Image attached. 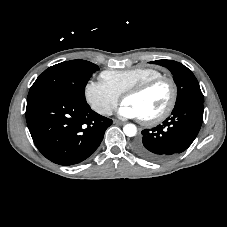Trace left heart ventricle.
<instances>
[{
  "mask_svg": "<svg viewBox=\"0 0 227 227\" xmlns=\"http://www.w3.org/2000/svg\"><path fill=\"white\" fill-rule=\"evenodd\" d=\"M170 95L169 84L161 82L141 95L126 97L124 102L134 106L141 118H150L164 110L169 102Z\"/></svg>",
  "mask_w": 227,
  "mask_h": 227,
  "instance_id": "left-heart-ventricle-1",
  "label": "left heart ventricle"
}]
</instances>
